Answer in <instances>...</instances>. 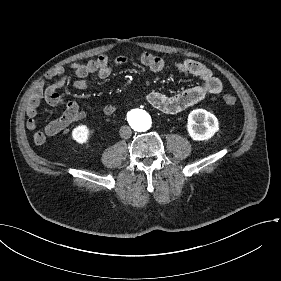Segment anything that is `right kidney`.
I'll return each mask as SVG.
<instances>
[{
	"mask_svg": "<svg viewBox=\"0 0 281 281\" xmlns=\"http://www.w3.org/2000/svg\"><path fill=\"white\" fill-rule=\"evenodd\" d=\"M90 135V131L87 126L81 125L76 127L72 132V137L78 143H86Z\"/></svg>",
	"mask_w": 281,
	"mask_h": 281,
	"instance_id": "1",
	"label": "right kidney"
}]
</instances>
